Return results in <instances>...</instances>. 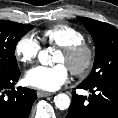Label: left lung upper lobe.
Listing matches in <instances>:
<instances>
[{
    "label": "left lung upper lobe",
    "instance_id": "left-lung-upper-lobe-1",
    "mask_svg": "<svg viewBox=\"0 0 118 118\" xmlns=\"http://www.w3.org/2000/svg\"><path fill=\"white\" fill-rule=\"evenodd\" d=\"M77 19L84 24L95 43L93 70L82 83L92 86L118 79V29L90 18Z\"/></svg>",
    "mask_w": 118,
    "mask_h": 118
}]
</instances>
